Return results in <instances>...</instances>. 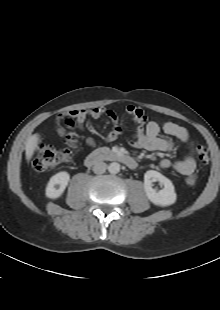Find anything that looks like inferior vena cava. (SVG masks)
I'll return each mask as SVG.
<instances>
[{"mask_svg":"<svg viewBox=\"0 0 220 310\" xmlns=\"http://www.w3.org/2000/svg\"><path fill=\"white\" fill-rule=\"evenodd\" d=\"M107 169V164L105 162L99 161L96 162L93 166V172L95 174H103Z\"/></svg>","mask_w":220,"mask_h":310,"instance_id":"obj_1","label":"inferior vena cava"}]
</instances>
